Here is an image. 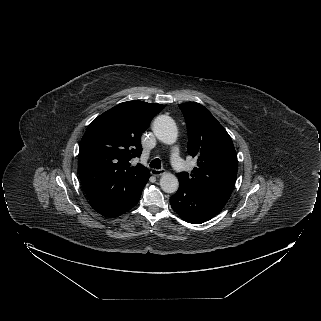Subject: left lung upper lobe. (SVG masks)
<instances>
[{"label": "left lung upper lobe", "instance_id": "obj_1", "mask_svg": "<svg viewBox=\"0 0 321 321\" xmlns=\"http://www.w3.org/2000/svg\"><path fill=\"white\" fill-rule=\"evenodd\" d=\"M188 131V153L197 159L179 182L193 187L232 192L237 177V154L231 137L207 108L196 102L179 105Z\"/></svg>", "mask_w": 321, "mask_h": 321}]
</instances>
